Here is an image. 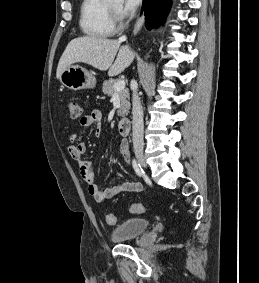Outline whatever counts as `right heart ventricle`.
<instances>
[{
  "instance_id": "e07e8e85",
  "label": "right heart ventricle",
  "mask_w": 259,
  "mask_h": 283,
  "mask_svg": "<svg viewBox=\"0 0 259 283\" xmlns=\"http://www.w3.org/2000/svg\"><path fill=\"white\" fill-rule=\"evenodd\" d=\"M80 26L85 35L103 39L115 33L116 26L110 5L106 0H83Z\"/></svg>"
}]
</instances>
